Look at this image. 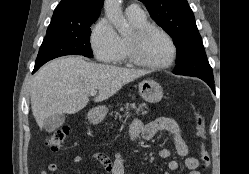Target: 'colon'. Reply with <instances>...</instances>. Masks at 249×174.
Returning <instances> with one entry per match:
<instances>
[{
	"label": "colon",
	"mask_w": 249,
	"mask_h": 174,
	"mask_svg": "<svg viewBox=\"0 0 249 174\" xmlns=\"http://www.w3.org/2000/svg\"><path fill=\"white\" fill-rule=\"evenodd\" d=\"M194 131L196 137L200 140L201 144L199 146L198 152L200 159L202 161V167L204 170H207L210 165V156L203 145V141L205 139L204 136V130H203V119L199 112L194 113ZM70 130L68 127H62L60 129H57L53 131L46 139V145L51 151H59L64 143L67 137L69 136Z\"/></svg>",
	"instance_id": "1"
}]
</instances>
